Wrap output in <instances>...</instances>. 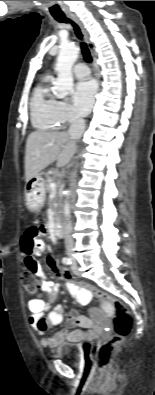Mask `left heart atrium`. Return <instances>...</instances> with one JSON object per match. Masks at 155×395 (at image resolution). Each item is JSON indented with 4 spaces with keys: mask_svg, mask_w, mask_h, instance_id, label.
I'll use <instances>...</instances> for the list:
<instances>
[{
    "mask_svg": "<svg viewBox=\"0 0 155 395\" xmlns=\"http://www.w3.org/2000/svg\"><path fill=\"white\" fill-rule=\"evenodd\" d=\"M97 92V85L94 80L78 82L73 92V103L79 114H87L93 106Z\"/></svg>",
    "mask_w": 155,
    "mask_h": 395,
    "instance_id": "left-heart-atrium-1",
    "label": "left heart atrium"
}]
</instances>
